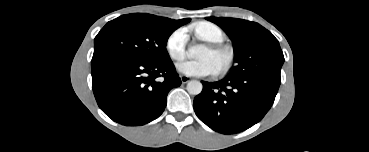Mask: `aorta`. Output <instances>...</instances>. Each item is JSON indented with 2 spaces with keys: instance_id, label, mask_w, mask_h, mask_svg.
Instances as JSON below:
<instances>
[{
  "instance_id": "762f6f07",
  "label": "aorta",
  "mask_w": 369,
  "mask_h": 152,
  "mask_svg": "<svg viewBox=\"0 0 369 152\" xmlns=\"http://www.w3.org/2000/svg\"><path fill=\"white\" fill-rule=\"evenodd\" d=\"M205 47L201 44H195L189 47L188 51L191 56L198 57L204 52ZM187 91L191 95H198L202 92L203 85L200 81L191 80L188 82Z\"/></svg>"
}]
</instances>
